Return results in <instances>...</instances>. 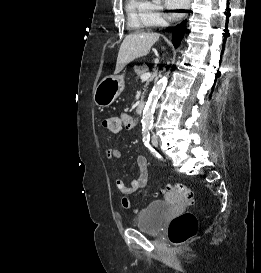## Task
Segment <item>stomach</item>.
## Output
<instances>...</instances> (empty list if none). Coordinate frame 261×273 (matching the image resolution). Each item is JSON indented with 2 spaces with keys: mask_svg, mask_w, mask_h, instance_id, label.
Returning a JSON list of instances; mask_svg holds the SVG:
<instances>
[{
  "mask_svg": "<svg viewBox=\"0 0 261 273\" xmlns=\"http://www.w3.org/2000/svg\"><path fill=\"white\" fill-rule=\"evenodd\" d=\"M124 86V75L104 77L94 90V103L99 107L110 106L121 94Z\"/></svg>",
  "mask_w": 261,
  "mask_h": 273,
  "instance_id": "stomach-1",
  "label": "stomach"
}]
</instances>
